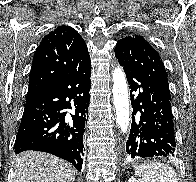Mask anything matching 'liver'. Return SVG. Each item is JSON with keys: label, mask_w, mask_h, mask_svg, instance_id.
Returning <instances> with one entry per match:
<instances>
[{"label": "liver", "mask_w": 196, "mask_h": 182, "mask_svg": "<svg viewBox=\"0 0 196 182\" xmlns=\"http://www.w3.org/2000/svg\"><path fill=\"white\" fill-rule=\"evenodd\" d=\"M75 168L51 154L26 151L16 156L13 182H74Z\"/></svg>", "instance_id": "1"}]
</instances>
